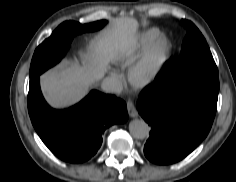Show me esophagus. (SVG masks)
<instances>
[{
	"mask_svg": "<svg viewBox=\"0 0 236 182\" xmlns=\"http://www.w3.org/2000/svg\"><path fill=\"white\" fill-rule=\"evenodd\" d=\"M127 111L130 117H137L138 112L135 105L132 102H127Z\"/></svg>",
	"mask_w": 236,
	"mask_h": 182,
	"instance_id": "esophagus-1",
	"label": "esophagus"
}]
</instances>
